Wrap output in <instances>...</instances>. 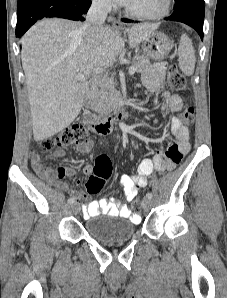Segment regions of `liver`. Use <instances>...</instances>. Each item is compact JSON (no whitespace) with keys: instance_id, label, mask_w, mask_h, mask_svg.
Returning a JSON list of instances; mask_svg holds the SVG:
<instances>
[{"instance_id":"obj_1","label":"liver","mask_w":227,"mask_h":298,"mask_svg":"<svg viewBox=\"0 0 227 298\" xmlns=\"http://www.w3.org/2000/svg\"><path fill=\"white\" fill-rule=\"evenodd\" d=\"M82 24L60 18L37 22L22 40V66L31 105L36 141L68 127L79 115L88 78L97 68L112 65L124 48L120 34L103 27L86 34ZM159 27L139 24L126 30L131 48ZM83 74L84 78L76 76Z\"/></svg>"}]
</instances>
